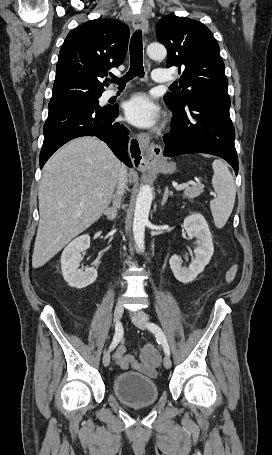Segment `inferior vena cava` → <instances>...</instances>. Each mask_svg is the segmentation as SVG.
Returning <instances> with one entry per match:
<instances>
[{"label":"inferior vena cava","instance_id":"obj_1","mask_svg":"<svg viewBox=\"0 0 272 455\" xmlns=\"http://www.w3.org/2000/svg\"><path fill=\"white\" fill-rule=\"evenodd\" d=\"M126 184H127V170H126L125 166L122 165L121 169H120L118 186H117V191H116V195H115L116 200H118L119 202L121 200V196L125 192Z\"/></svg>","mask_w":272,"mask_h":455}]
</instances>
